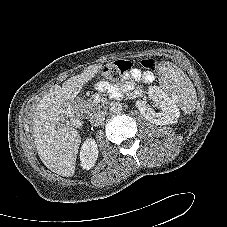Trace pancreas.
<instances>
[{
	"mask_svg": "<svg viewBox=\"0 0 227 227\" xmlns=\"http://www.w3.org/2000/svg\"><path fill=\"white\" fill-rule=\"evenodd\" d=\"M99 106L98 102L88 100V101H80L78 103V108L81 112L90 113L94 111Z\"/></svg>",
	"mask_w": 227,
	"mask_h": 227,
	"instance_id": "1",
	"label": "pancreas"
}]
</instances>
